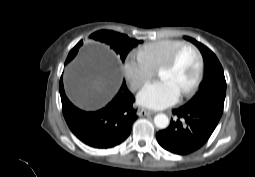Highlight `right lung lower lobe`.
<instances>
[{
	"instance_id": "right-lung-lower-lobe-1",
	"label": "right lung lower lobe",
	"mask_w": 255,
	"mask_h": 177,
	"mask_svg": "<svg viewBox=\"0 0 255 177\" xmlns=\"http://www.w3.org/2000/svg\"><path fill=\"white\" fill-rule=\"evenodd\" d=\"M60 95L65 120L73 134L86 145L97 149H109L122 143L131 132L137 119L133 109L134 96L123 82L119 92L104 108L83 111L66 97L62 78Z\"/></svg>"
}]
</instances>
